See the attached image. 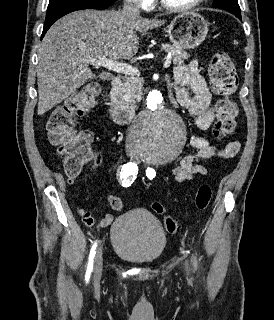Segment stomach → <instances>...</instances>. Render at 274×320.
<instances>
[{
	"instance_id": "obj_1",
	"label": "stomach",
	"mask_w": 274,
	"mask_h": 320,
	"mask_svg": "<svg viewBox=\"0 0 274 320\" xmlns=\"http://www.w3.org/2000/svg\"><path fill=\"white\" fill-rule=\"evenodd\" d=\"M208 22L196 12L178 14L168 26V36L176 48L194 50L208 34Z\"/></svg>"
}]
</instances>
